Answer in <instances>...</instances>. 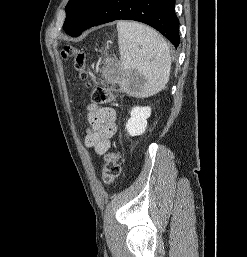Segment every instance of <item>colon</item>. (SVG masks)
<instances>
[{
    "instance_id": "5ec220e1",
    "label": "colon",
    "mask_w": 247,
    "mask_h": 257,
    "mask_svg": "<svg viewBox=\"0 0 247 257\" xmlns=\"http://www.w3.org/2000/svg\"><path fill=\"white\" fill-rule=\"evenodd\" d=\"M64 59H72L74 69L80 74L81 78H86V55L74 45H66L61 52ZM90 86L89 83H86ZM92 100L96 104H109L114 99L113 92L103 86H94L92 88ZM121 172L120 155L116 151H109L105 155V162L102 170L103 182L107 185L112 184L118 178Z\"/></svg>"
}]
</instances>
